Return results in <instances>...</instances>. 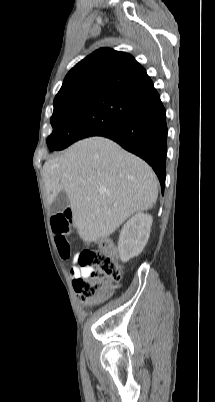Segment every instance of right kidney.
Returning <instances> with one entry per match:
<instances>
[{
	"label": "right kidney",
	"instance_id": "obj_1",
	"mask_svg": "<svg viewBox=\"0 0 215 402\" xmlns=\"http://www.w3.org/2000/svg\"><path fill=\"white\" fill-rule=\"evenodd\" d=\"M152 221L151 215L138 213L123 226L118 241V251L123 262L143 251L149 239Z\"/></svg>",
	"mask_w": 215,
	"mask_h": 402
}]
</instances>
